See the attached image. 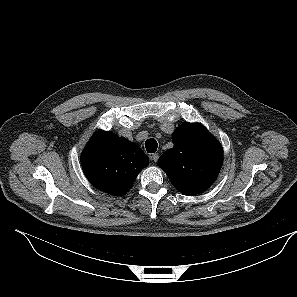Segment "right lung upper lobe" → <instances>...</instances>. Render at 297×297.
Returning <instances> with one entry per match:
<instances>
[{
	"mask_svg": "<svg viewBox=\"0 0 297 297\" xmlns=\"http://www.w3.org/2000/svg\"><path fill=\"white\" fill-rule=\"evenodd\" d=\"M148 164L149 159L140 147L109 131H98L81 155L83 171L92 185L118 196L130 190Z\"/></svg>",
	"mask_w": 297,
	"mask_h": 297,
	"instance_id": "right-lung-upper-lobe-1",
	"label": "right lung upper lobe"
}]
</instances>
